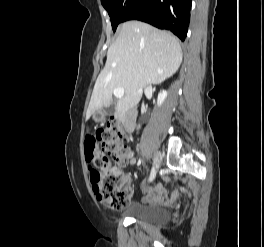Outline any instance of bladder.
<instances>
[{
	"mask_svg": "<svg viewBox=\"0 0 264 247\" xmlns=\"http://www.w3.org/2000/svg\"><path fill=\"white\" fill-rule=\"evenodd\" d=\"M129 217L152 225L166 224L171 219V212L165 207L135 203L128 210Z\"/></svg>",
	"mask_w": 264,
	"mask_h": 247,
	"instance_id": "1",
	"label": "bladder"
}]
</instances>
